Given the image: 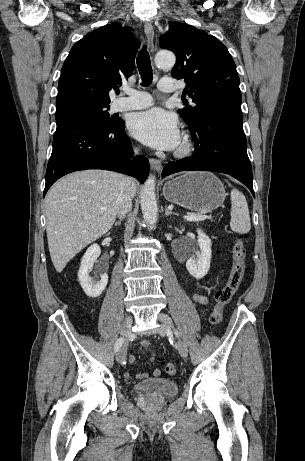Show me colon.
<instances>
[{"mask_svg":"<svg viewBox=\"0 0 305 461\" xmlns=\"http://www.w3.org/2000/svg\"><path fill=\"white\" fill-rule=\"evenodd\" d=\"M246 252L244 243L237 239L233 246V267L227 283L216 293L215 305L209 317L211 325L216 326L222 320L224 307L229 303L233 295L237 292L245 273ZM166 373L173 375L177 368L174 363H167L165 366Z\"/></svg>","mask_w":305,"mask_h":461,"instance_id":"5ec220e1","label":"colon"}]
</instances>
